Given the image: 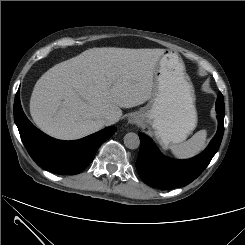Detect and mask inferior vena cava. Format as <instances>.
<instances>
[{
	"label": "inferior vena cava",
	"mask_w": 245,
	"mask_h": 245,
	"mask_svg": "<svg viewBox=\"0 0 245 245\" xmlns=\"http://www.w3.org/2000/svg\"><path fill=\"white\" fill-rule=\"evenodd\" d=\"M119 120V117L117 115L114 114H108L104 117V121L106 124L110 125V124H114Z\"/></svg>",
	"instance_id": "602c4592"
}]
</instances>
